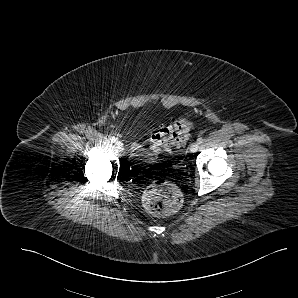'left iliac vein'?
<instances>
[{"mask_svg": "<svg viewBox=\"0 0 298 298\" xmlns=\"http://www.w3.org/2000/svg\"><path fill=\"white\" fill-rule=\"evenodd\" d=\"M199 149V143L198 142H194L190 145V151L192 153L197 152V150Z\"/></svg>", "mask_w": 298, "mask_h": 298, "instance_id": "obj_1", "label": "left iliac vein"}]
</instances>
